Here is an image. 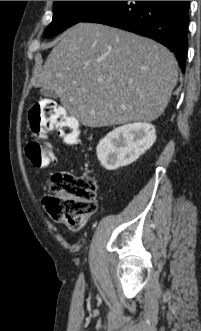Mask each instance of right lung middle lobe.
I'll list each match as a JSON object with an SVG mask.
<instances>
[{
  "mask_svg": "<svg viewBox=\"0 0 201 331\" xmlns=\"http://www.w3.org/2000/svg\"><path fill=\"white\" fill-rule=\"evenodd\" d=\"M107 1H55L53 20L44 36L50 38L66 28L81 22Z\"/></svg>",
  "mask_w": 201,
  "mask_h": 331,
  "instance_id": "dd1d6c3e",
  "label": "right lung middle lobe"
}]
</instances>
